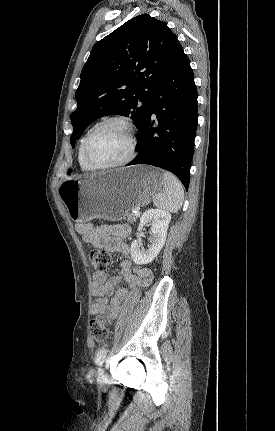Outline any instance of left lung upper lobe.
Listing matches in <instances>:
<instances>
[{
  "mask_svg": "<svg viewBox=\"0 0 275 431\" xmlns=\"http://www.w3.org/2000/svg\"><path fill=\"white\" fill-rule=\"evenodd\" d=\"M180 47L167 25L148 14L127 21L97 42L75 93L78 105L71 115L72 147L89 124L106 115L130 117L140 130Z\"/></svg>",
  "mask_w": 275,
  "mask_h": 431,
  "instance_id": "obj_1",
  "label": "left lung upper lobe"
}]
</instances>
